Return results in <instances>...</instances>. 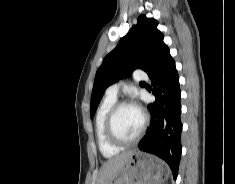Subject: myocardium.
Returning a JSON list of instances; mask_svg holds the SVG:
<instances>
[{
	"instance_id": "myocardium-1",
	"label": "myocardium",
	"mask_w": 235,
	"mask_h": 184,
	"mask_svg": "<svg viewBox=\"0 0 235 184\" xmlns=\"http://www.w3.org/2000/svg\"><path fill=\"white\" fill-rule=\"evenodd\" d=\"M127 106H133L130 102L127 101H121L117 102L108 112L107 117H106V122H105V131L108 139L116 146H129L136 144L139 142L142 137L145 134V131L147 129L148 123H149V118L145 113H142L143 116V124L142 127L139 131V133L136 135V137L132 139H125L121 137L115 127V119L117 113L124 107Z\"/></svg>"
}]
</instances>
